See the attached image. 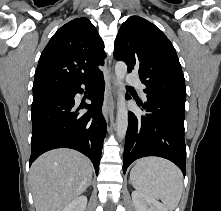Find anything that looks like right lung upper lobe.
<instances>
[{"mask_svg": "<svg viewBox=\"0 0 221 211\" xmlns=\"http://www.w3.org/2000/svg\"><path fill=\"white\" fill-rule=\"evenodd\" d=\"M104 43L87 18L62 26L43 50L33 83V92L88 79L104 64Z\"/></svg>", "mask_w": 221, "mask_h": 211, "instance_id": "1", "label": "right lung upper lobe"}]
</instances>
